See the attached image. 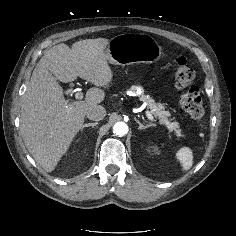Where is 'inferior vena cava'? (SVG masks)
I'll use <instances>...</instances> for the list:
<instances>
[{"label": "inferior vena cava", "instance_id": "1", "mask_svg": "<svg viewBox=\"0 0 236 236\" xmlns=\"http://www.w3.org/2000/svg\"><path fill=\"white\" fill-rule=\"evenodd\" d=\"M86 116L90 120L100 121L106 116V110L101 105H93L87 110Z\"/></svg>", "mask_w": 236, "mask_h": 236}]
</instances>
